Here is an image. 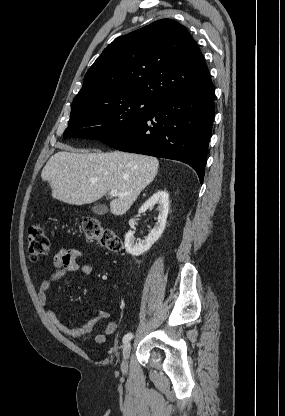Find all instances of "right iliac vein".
Here are the masks:
<instances>
[{
	"instance_id": "63e3f726",
	"label": "right iliac vein",
	"mask_w": 285,
	"mask_h": 416,
	"mask_svg": "<svg viewBox=\"0 0 285 416\" xmlns=\"http://www.w3.org/2000/svg\"><path fill=\"white\" fill-rule=\"evenodd\" d=\"M131 349H132L131 343H125V345L123 347V361L121 363L122 371H127L128 370V364H127L126 360L128 359V357L130 355Z\"/></svg>"
}]
</instances>
